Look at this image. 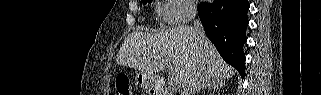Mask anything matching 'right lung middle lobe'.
Segmentation results:
<instances>
[{"label": "right lung middle lobe", "mask_w": 321, "mask_h": 95, "mask_svg": "<svg viewBox=\"0 0 321 95\" xmlns=\"http://www.w3.org/2000/svg\"><path fill=\"white\" fill-rule=\"evenodd\" d=\"M143 4H146L147 2H152V0H141Z\"/></svg>", "instance_id": "1"}]
</instances>
